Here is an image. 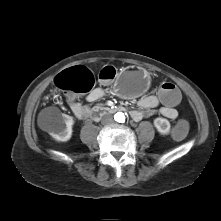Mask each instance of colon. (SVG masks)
<instances>
[{
  "label": "colon",
  "instance_id": "5ec220e1",
  "mask_svg": "<svg viewBox=\"0 0 221 221\" xmlns=\"http://www.w3.org/2000/svg\"><path fill=\"white\" fill-rule=\"evenodd\" d=\"M116 76V70L112 66L103 67L98 78L101 81H111ZM55 85L68 96H75L90 92L95 85L94 74L84 66H75L61 72L55 78ZM157 97L166 108H177L181 105L183 97L179 88L173 82H163L157 88ZM191 129V124L188 118L181 117L177 121L176 127L172 128L169 135L174 140H182L187 132Z\"/></svg>",
  "mask_w": 221,
  "mask_h": 221
}]
</instances>
